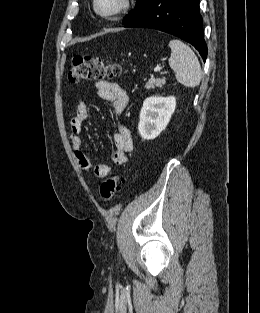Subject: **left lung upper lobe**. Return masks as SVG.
<instances>
[{
  "label": "left lung upper lobe",
  "mask_w": 260,
  "mask_h": 313,
  "mask_svg": "<svg viewBox=\"0 0 260 313\" xmlns=\"http://www.w3.org/2000/svg\"><path fill=\"white\" fill-rule=\"evenodd\" d=\"M151 0H136V6L133 11H131L129 14H127L123 22L130 21L133 19L137 14H139L149 3Z\"/></svg>",
  "instance_id": "left-lung-upper-lobe-1"
}]
</instances>
